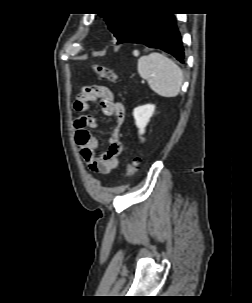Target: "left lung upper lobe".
Masks as SVG:
<instances>
[{"mask_svg": "<svg viewBox=\"0 0 252 303\" xmlns=\"http://www.w3.org/2000/svg\"><path fill=\"white\" fill-rule=\"evenodd\" d=\"M146 13H112L100 14L108 24V28L113 32L118 41L123 39L139 23Z\"/></svg>", "mask_w": 252, "mask_h": 303, "instance_id": "1", "label": "left lung upper lobe"}]
</instances>
